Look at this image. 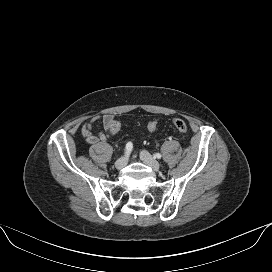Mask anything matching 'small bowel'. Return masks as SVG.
Instances as JSON below:
<instances>
[{
	"mask_svg": "<svg viewBox=\"0 0 272 272\" xmlns=\"http://www.w3.org/2000/svg\"><path fill=\"white\" fill-rule=\"evenodd\" d=\"M115 118L111 114H105L103 116H96L91 119H89L81 129L82 135L85 139V141L90 144L94 145L99 142H105L107 141L111 134H110V127L112 123L114 122ZM101 121L104 127L105 132L100 133H94L93 132V126L96 122Z\"/></svg>",
	"mask_w": 272,
	"mask_h": 272,
	"instance_id": "small-bowel-1",
	"label": "small bowel"
}]
</instances>
